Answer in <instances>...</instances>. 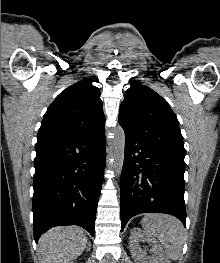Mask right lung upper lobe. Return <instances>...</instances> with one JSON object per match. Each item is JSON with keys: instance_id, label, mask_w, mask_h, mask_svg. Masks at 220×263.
<instances>
[{"instance_id": "obj_1", "label": "right lung upper lobe", "mask_w": 220, "mask_h": 263, "mask_svg": "<svg viewBox=\"0 0 220 263\" xmlns=\"http://www.w3.org/2000/svg\"><path fill=\"white\" fill-rule=\"evenodd\" d=\"M91 82L79 81L58 95L44 115L37 142L67 140L104 130L100 91Z\"/></svg>"}]
</instances>
